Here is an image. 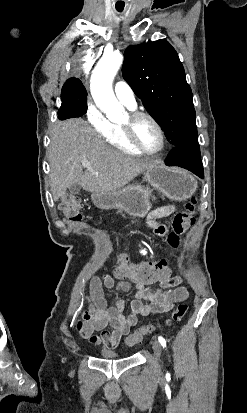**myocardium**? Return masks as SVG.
Wrapping results in <instances>:
<instances>
[{
	"instance_id": "myocardium-1",
	"label": "myocardium",
	"mask_w": 247,
	"mask_h": 413,
	"mask_svg": "<svg viewBox=\"0 0 247 413\" xmlns=\"http://www.w3.org/2000/svg\"><path fill=\"white\" fill-rule=\"evenodd\" d=\"M142 119L149 121L156 129H158L161 135L162 143H161V146L157 150L150 151L146 149L145 147L141 145V143L139 142L137 138L136 126L138 122ZM129 123L132 124V126L123 127V129H124L126 138L128 139L130 144L135 149L151 157H159L164 153V151L167 148V134L165 130L163 129V127L160 125V123L152 115L146 112H141V111L133 112L129 118Z\"/></svg>"
}]
</instances>
